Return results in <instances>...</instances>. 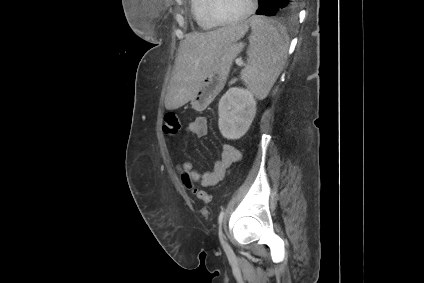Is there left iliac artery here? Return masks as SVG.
I'll use <instances>...</instances> for the list:
<instances>
[{
    "label": "left iliac artery",
    "mask_w": 424,
    "mask_h": 283,
    "mask_svg": "<svg viewBox=\"0 0 424 283\" xmlns=\"http://www.w3.org/2000/svg\"><path fill=\"white\" fill-rule=\"evenodd\" d=\"M224 214H225L224 209H222L221 212H220V214H219V217H218L219 235H220V237L223 236L222 235V231H221V225H222V222H223Z\"/></svg>",
    "instance_id": "left-iliac-artery-1"
}]
</instances>
